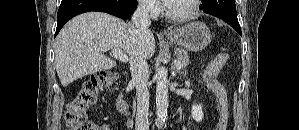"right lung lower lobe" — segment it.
<instances>
[{
	"mask_svg": "<svg viewBox=\"0 0 299 130\" xmlns=\"http://www.w3.org/2000/svg\"><path fill=\"white\" fill-rule=\"evenodd\" d=\"M136 7V0H62L57 14L55 36L68 20L78 14L101 11L126 20Z\"/></svg>",
	"mask_w": 299,
	"mask_h": 130,
	"instance_id": "1",
	"label": "right lung lower lobe"
}]
</instances>
